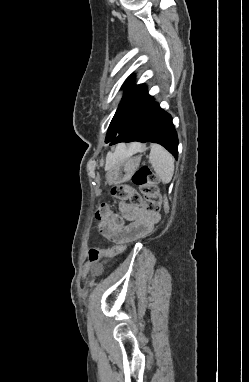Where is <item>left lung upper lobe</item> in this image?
Returning <instances> with one entry per match:
<instances>
[{"label":"left lung upper lobe","instance_id":"left-lung-upper-lobe-1","mask_svg":"<svg viewBox=\"0 0 249 382\" xmlns=\"http://www.w3.org/2000/svg\"><path fill=\"white\" fill-rule=\"evenodd\" d=\"M132 79L130 76L123 85L125 93L108 128L106 143L132 127L154 101L147 88L143 84L133 85Z\"/></svg>","mask_w":249,"mask_h":382}]
</instances>
